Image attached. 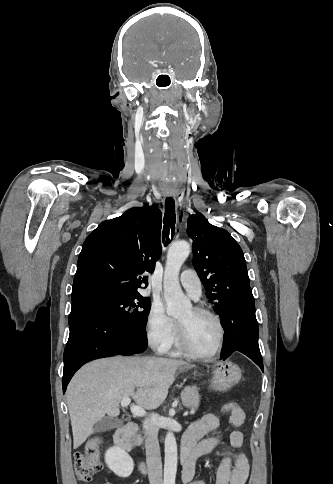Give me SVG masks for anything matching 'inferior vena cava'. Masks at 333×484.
Returning <instances> with one entry per match:
<instances>
[{
    "mask_svg": "<svg viewBox=\"0 0 333 484\" xmlns=\"http://www.w3.org/2000/svg\"><path fill=\"white\" fill-rule=\"evenodd\" d=\"M145 435L146 462L148 468V478L150 484H163L162 461L158 441V426L153 417L145 419L143 422Z\"/></svg>",
    "mask_w": 333,
    "mask_h": 484,
    "instance_id": "obj_1",
    "label": "inferior vena cava"
}]
</instances>
